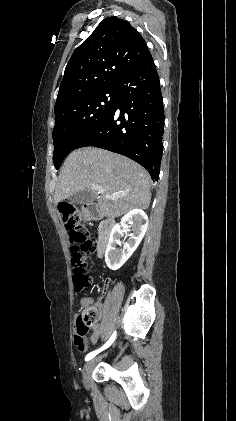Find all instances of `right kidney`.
Returning a JSON list of instances; mask_svg holds the SVG:
<instances>
[{
	"label": "right kidney",
	"instance_id": "ca27d5eb",
	"mask_svg": "<svg viewBox=\"0 0 236 421\" xmlns=\"http://www.w3.org/2000/svg\"><path fill=\"white\" fill-rule=\"evenodd\" d=\"M147 227L148 217L141 208H132V211L122 217L120 225L113 227L105 253L106 265L111 271H117L130 259L140 245ZM125 231H132L129 241L123 243V249H117V245H121L120 239Z\"/></svg>",
	"mask_w": 236,
	"mask_h": 421
}]
</instances>
